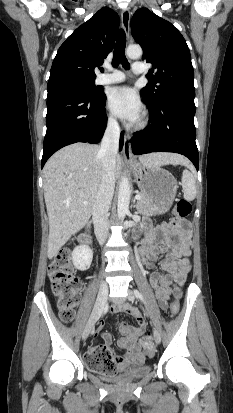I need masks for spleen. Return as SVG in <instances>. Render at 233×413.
Wrapping results in <instances>:
<instances>
[{"label": "spleen", "mask_w": 233, "mask_h": 413, "mask_svg": "<svg viewBox=\"0 0 233 413\" xmlns=\"http://www.w3.org/2000/svg\"><path fill=\"white\" fill-rule=\"evenodd\" d=\"M196 178L187 169L183 171L182 174V188L184 192V198L187 201H192L196 197Z\"/></svg>", "instance_id": "1"}]
</instances>
